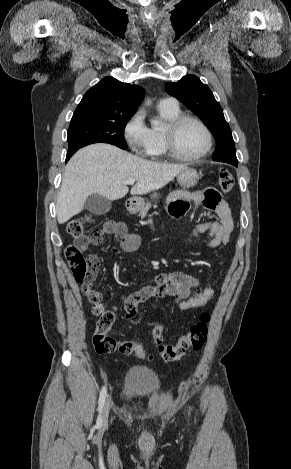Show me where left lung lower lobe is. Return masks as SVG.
I'll use <instances>...</instances> for the list:
<instances>
[{"label":"left lung lower lobe","mask_w":291,"mask_h":469,"mask_svg":"<svg viewBox=\"0 0 291 469\" xmlns=\"http://www.w3.org/2000/svg\"><path fill=\"white\" fill-rule=\"evenodd\" d=\"M221 160H225V159H221ZM223 162V161H222ZM228 163V162H227ZM233 165V164H232ZM238 164L234 165V166H237Z\"/></svg>","instance_id":"left-lung-lower-lobe-1"}]
</instances>
